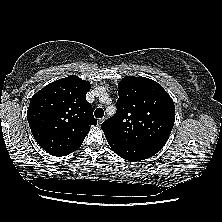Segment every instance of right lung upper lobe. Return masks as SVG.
Wrapping results in <instances>:
<instances>
[{
	"mask_svg": "<svg viewBox=\"0 0 222 222\" xmlns=\"http://www.w3.org/2000/svg\"><path fill=\"white\" fill-rule=\"evenodd\" d=\"M89 81L76 75L56 80L31 98L27 119L36 142L53 156L78 149L91 125H96L92 106L86 101Z\"/></svg>",
	"mask_w": 222,
	"mask_h": 222,
	"instance_id": "right-lung-upper-lobe-1",
	"label": "right lung upper lobe"
}]
</instances>
